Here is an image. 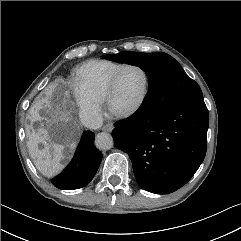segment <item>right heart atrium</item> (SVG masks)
<instances>
[{
    "label": "right heart atrium",
    "instance_id": "obj_1",
    "mask_svg": "<svg viewBox=\"0 0 241 241\" xmlns=\"http://www.w3.org/2000/svg\"><path fill=\"white\" fill-rule=\"evenodd\" d=\"M74 99L81 120L89 127H95L102 117L100 102L91 98L78 86L74 88Z\"/></svg>",
    "mask_w": 241,
    "mask_h": 241
}]
</instances>
